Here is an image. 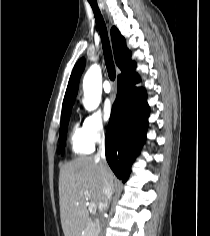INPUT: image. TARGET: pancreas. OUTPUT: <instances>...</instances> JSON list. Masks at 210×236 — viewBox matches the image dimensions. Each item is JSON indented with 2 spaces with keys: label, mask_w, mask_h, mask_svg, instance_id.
Masks as SVG:
<instances>
[{
  "label": "pancreas",
  "mask_w": 210,
  "mask_h": 236,
  "mask_svg": "<svg viewBox=\"0 0 210 236\" xmlns=\"http://www.w3.org/2000/svg\"><path fill=\"white\" fill-rule=\"evenodd\" d=\"M97 233H98L97 220L90 219L87 223L85 230H84L83 236H97Z\"/></svg>",
  "instance_id": "cf45deb5"
}]
</instances>
